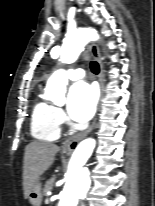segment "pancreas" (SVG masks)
Segmentation results:
<instances>
[{
  "label": "pancreas",
  "instance_id": "pancreas-1",
  "mask_svg": "<svg viewBox=\"0 0 155 206\" xmlns=\"http://www.w3.org/2000/svg\"><path fill=\"white\" fill-rule=\"evenodd\" d=\"M55 181V177H52L50 180H48L44 186V193L51 190L53 188V184Z\"/></svg>",
  "mask_w": 155,
  "mask_h": 206
}]
</instances>
